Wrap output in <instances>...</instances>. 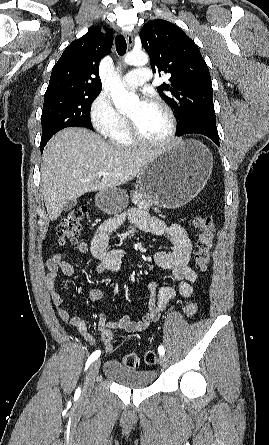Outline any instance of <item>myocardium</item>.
Listing matches in <instances>:
<instances>
[{
    "instance_id": "myocardium-1",
    "label": "myocardium",
    "mask_w": 269,
    "mask_h": 445,
    "mask_svg": "<svg viewBox=\"0 0 269 445\" xmlns=\"http://www.w3.org/2000/svg\"><path fill=\"white\" fill-rule=\"evenodd\" d=\"M147 103H154L164 110V112L166 113V115L168 116V119H169V124H170L169 131L161 139H157V140L148 139L140 133V131H139L137 125L135 124V122L133 121V119L128 116L127 123H128L129 130L131 132V135L137 143H140L143 145L155 146V147L165 146L175 137V134L177 132V119L174 114V111L164 100H162L159 97H151L148 99Z\"/></svg>"
}]
</instances>
